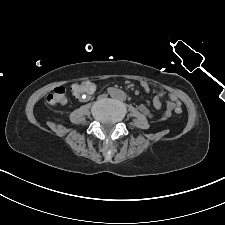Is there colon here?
Returning a JSON list of instances; mask_svg holds the SVG:
<instances>
[{"label":"colon","mask_w":225,"mask_h":225,"mask_svg":"<svg viewBox=\"0 0 225 225\" xmlns=\"http://www.w3.org/2000/svg\"><path fill=\"white\" fill-rule=\"evenodd\" d=\"M94 89V84L88 81L74 84L71 88L73 95H80L82 93H88ZM48 104L51 105H64L67 103L66 89L63 86L56 87L46 98ZM176 114H181L183 109L180 105L174 108Z\"/></svg>","instance_id":"5ec220e1"}]
</instances>
